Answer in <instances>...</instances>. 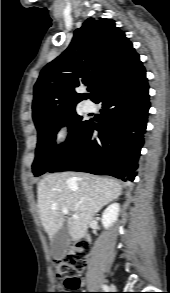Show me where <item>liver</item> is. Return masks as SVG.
Wrapping results in <instances>:
<instances>
[{
  "mask_svg": "<svg viewBox=\"0 0 170 293\" xmlns=\"http://www.w3.org/2000/svg\"><path fill=\"white\" fill-rule=\"evenodd\" d=\"M121 194L120 183L112 178L81 172L49 174L37 186L42 225L53 238L65 222L62 208H67L72 213L66 221L71 239L80 240L93 216Z\"/></svg>",
  "mask_w": 170,
  "mask_h": 293,
  "instance_id": "1",
  "label": "liver"
}]
</instances>
